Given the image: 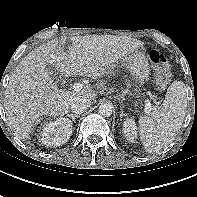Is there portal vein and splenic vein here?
<instances>
[{
    "label": "portal vein and splenic vein",
    "mask_w": 197,
    "mask_h": 197,
    "mask_svg": "<svg viewBox=\"0 0 197 197\" xmlns=\"http://www.w3.org/2000/svg\"><path fill=\"white\" fill-rule=\"evenodd\" d=\"M82 88H83V84H81V83H75V84L73 85V90H74L75 92L81 91ZM152 109H153V108H152V106H151L150 101H149V100H145V113H150Z\"/></svg>",
    "instance_id": "1"
}]
</instances>
